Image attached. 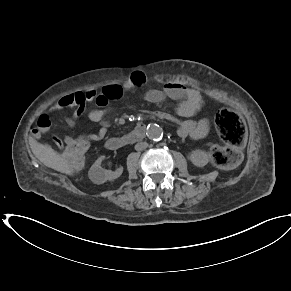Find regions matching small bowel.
I'll return each mask as SVG.
<instances>
[{
  "label": "small bowel",
  "instance_id": "1",
  "mask_svg": "<svg viewBox=\"0 0 291 291\" xmlns=\"http://www.w3.org/2000/svg\"><path fill=\"white\" fill-rule=\"evenodd\" d=\"M147 82V76L142 71H135L128 79L122 83L106 84L102 88H89L85 91L76 92L74 97V104L76 106L71 118L68 120L72 125L76 119L83 115L85 105L88 102H94L98 108L92 110L88 117L92 122L99 124V129L95 133L86 136L87 142L101 141L106 138L109 128V122L105 119L106 106L110 101L119 100L125 92L134 91L143 86ZM166 98L175 100H182L177 107V115L180 119L173 118L166 111L150 112L142 109L140 114L149 119L173 120L178 125V135L180 137H191L200 139L205 137L209 131V120L207 118L195 121L191 117L200 109L202 105V97L199 91L193 88L186 87L178 82H169L164 90L151 89L146 92V101L154 104L162 103ZM68 107V106H66ZM62 107L59 102L51 108V111L59 110ZM51 126L50 117L44 113L40 115L37 121V127L32 130V137L34 140L40 139L42 134L49 131ZM74 137L64 136V142L68 143ZM64 142L60 139H55L56 145L62 149Z\"/></svg>",
  "mask_w": 291,
  "mask_h": 291
}]
</instances>
